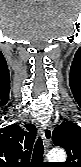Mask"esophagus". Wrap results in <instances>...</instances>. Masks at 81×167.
Masks as SVG:
<instances>
[{
    "mask_svg": "<svg viewBox=\"0 0 81 167\" xmlns=\"http://www.w3.org/2000/svg\"><path fill=\"white\" fill-rule=\"evenodd\" d=\"M41 135L43 139V144L45 148V152L48 151L51 143V138H52V127L50 124H46L41 127Z\"/></svg>",
    "mask_w": 81,
    "mask_h": 167,
    "instance_id": "obj_1",
    "label": "esophagus"
}]
</instances>
